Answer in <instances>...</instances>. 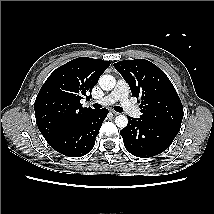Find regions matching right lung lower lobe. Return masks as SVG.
<instances>
[{"label": "right lung lower lobe", "mask_w": 214, "mask_h": 214, "mask_svg": "<svg viewBox=\"0 0 214 214\" xmlns=\"http://www.w3.org/2000/svg\"><path fill=\"white\" fill-rule=\"evenodd\" d=\"M108 110H94L68 127L49 145L57 152L69 157H81L89 153Z\"/></svg>", "instance_id": "obj_1"}]
</instances>
